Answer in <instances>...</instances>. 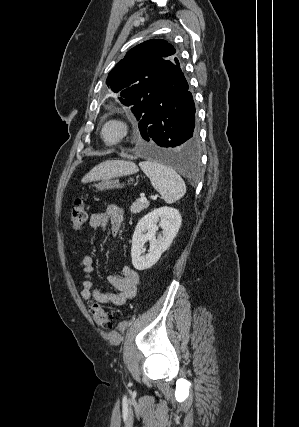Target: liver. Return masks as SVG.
<instances>
[{
  "label": "liver",
  "mask_w": 299,
  "mask_h": 427,
  "mask_svg": "<svg viewBox=\"0 0 299 427\" xmlns=\"http://www.w3.org/2000/svg\"><path fill=\"white\" fill-rule=\"evenodd\" d=\"M138 170L133 162L124 160H107L96 165L81 180L88 183L106 178L123 176L135 173Z\"/></svg>",
  "instance_id": "liver-1"
}]
</instances>
